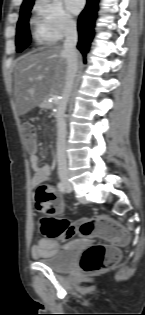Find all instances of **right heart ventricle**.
Listing matches in <instances>:
<instances>
[{
    "mask_svg": "<svg viewBox=\"0 0 145 315\" xmlns=\"http://www.w3.org/2000/svg\"><path fill=\"white\" fill-rule=\"evenodd\" d=\"M33 37H34L35 41L39 44L45 43L47 41L46 37L44 36L41 28L39 27V25L37 23L35 24V28L33 31Z\"/></svg>",
    "mask_w": 145,
    "mask_h": 315,
    "instance_id": "1",
    "label": "right heart ventricle"
}]
</instances>
